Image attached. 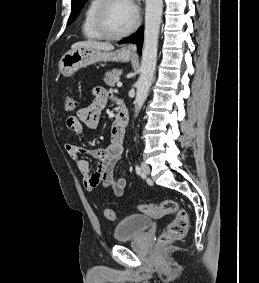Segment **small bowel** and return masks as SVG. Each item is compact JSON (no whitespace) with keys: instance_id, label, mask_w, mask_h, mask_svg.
<instances>
[{"instance_id":"1","label":"small bowel","mask_w":259,"mask_h":283,"mask_svg":"<svg viewBox=\"0 0 259 283\" xmlns=\"http://www.w3.org/2000/svg\"><path fill=\"white\" fill-rule=\"evenodd\" d=\"M110 93L102 88L93 89V101L84 108H80L76 115L66 120L67 128L75 134H83L86 130H93L98 126L101 113L106 106ZM124 131L117 130L114 124L111 128V143L106 148H85L74 143H66L67 154L76 161L78 170L83 176L84 186L92 191L97 188H111L115 196H122L126 187V179L115 178L114 171L117 162L122 158ZM88 155L96 159L95 170L91 171L89 162L81 158Z\"/></svg>"}]
</instances>
